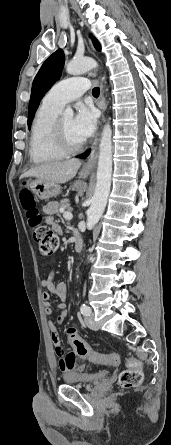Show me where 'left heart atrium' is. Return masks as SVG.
Returning a JSON list of instances; mask_svg holds the SVG:
<instances>
[{
	"label": "left heart atrium",
	"instance_id": "39dd6f15",
	"mask_svg": "<svg viewBox=\"0 0 171 445\" xmlns=\"http://www.w3.org/2000/svg\"><path fill=\"white\" fill-rule=\"evenodd\" d=\"M97 124V113L94 108L80 105L73 119V127L76 133L83 139L90 137Z\"/></svg>",
	"mask_w": 171,
	"mask_h": 445
}]
</instances>
